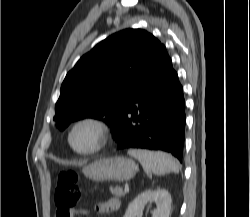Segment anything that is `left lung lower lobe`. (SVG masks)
Listing matches in <instances>:
<instances>
[{
	"mask_svg": "<svg viewBox=\"0 0 250 217\" xmlns=\"http://www.w3.org/2000/svg\"><path fill=\"white\" fill-rule=\"evenodd\" d=\"M185 120L183 88L162 45L113 134L117 149L165 151L182 162Z\"/></svg>",
	"mask_w": 250,
	"mask_h": 217,
	"instance_id": "obj_1",
	"label": "left lung lower lobe"
}]
</instances>
